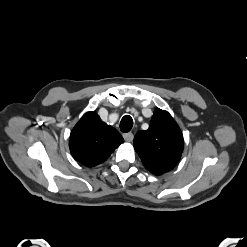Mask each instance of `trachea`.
Returning <instances> with one entry per match:
<instances>
[{
	"label": "trachea",
	"mask_w": 247,
	"mask_h": 247,
	"mask_svg": "<svg viewBox=\"0 0 247 247\" xmlns=\"http://www.w3.org/2000/svg\"><path fill=\"white\" fill-rule=\"evenodd\" d=\"M133 127V119L129 115H125L120 122V129L122 132L127 133Z\"/></svg>",
	"instance_id": "obj_1"
}]
</instances>
